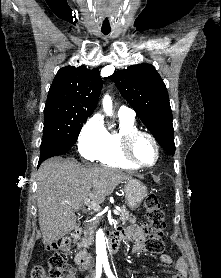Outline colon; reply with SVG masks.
I'll return each instance as SVG.
<instances>
[{
  "instance_id": "obj_1",
  "label": "colon",
  "mask_w": 221,
  "mask_h": 278,
  "mask_svg": "<svg viewBox=\"0 0 221 278\" xmlns=\"http://www.w3.org/2000/svg\"><path fill=\"white\" fill-rule=\"evenodd\" d=\"M146 210V224L151 233L146 242L147 250L152 254H162L165 250L163 242L166 221L163 209L158 199L149 195L144 201ZM48 249L52 252L49 259V270L37 266L33 268L31 278H63L67 267V255L71 249V240L68 237L52 242Z\"/></svg>"
}]
</instances>
